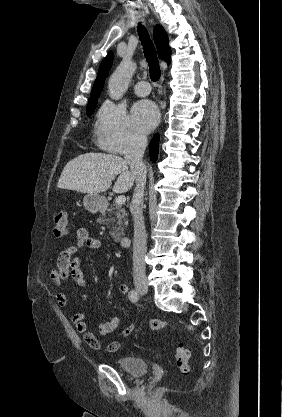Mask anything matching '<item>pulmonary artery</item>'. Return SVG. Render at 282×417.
Listing matches in <instances>:
<instances>
[{"mask_svg": "<svg viewBox=\"0 0 282 417\" xmlns=\"http://www.w3.org/2000/svg\"><path fill=\"white\" fill-rule=\"evenodd\" d=\"M150 90V85L146 81H140L134 86V93L141 97L147 96Z\"/></svg>", "mask_w": 282, "mask_h": 417, "instance_id": "obj_1", "label": "pulmonary artery"}]
</instances>
